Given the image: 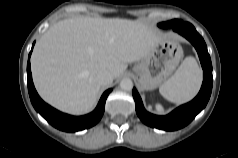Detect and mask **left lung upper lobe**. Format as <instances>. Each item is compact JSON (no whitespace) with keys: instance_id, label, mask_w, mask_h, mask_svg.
I'll return each instance as SVG.
<instances>
[{"instance_id":"1","label":"left lung upper lobe","mask_w":238,"mask_h":158,"mask_svg":"<svg viewBox=\"0 0 238 158\" xmlns=\"http://www.w3.org/2000/svg\"><path fill=\"white\" fill-rule=\"evenodd\" d=\"M177 21H178V23H180L179 20H177ZM165 24H166V22H164V23H160L159 26L162 27V28H166V25H165Z\"/></svg>"}]
</instances>
